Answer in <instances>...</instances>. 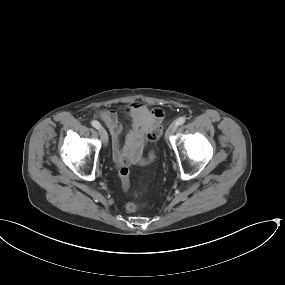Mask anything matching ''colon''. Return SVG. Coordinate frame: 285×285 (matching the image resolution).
Listing matches in <instances>:
<instances>
[{"label": "colon", "mask_w": 285, "mask_h": 285, "mask_svg": "<svg viewBox=\"0 0 285 285\" xmlns=\"http://www.w3.org/2000/svg\"><path fill=\"white\" fill-rule=\"evenodd\" d=\"M161 133H162V131H161V128L159 126L154 128L147 135L148 142L149 143L156 142L160 138ZM129 175H130V170L128 167L123 166V167L119 168L118 176H119L120 180L122 181L124 188H128V186H129ZM125 208L130 213H137L144 208V204H141L138 202H128L126 204Z\"/></svg>", "instance_id": "colon-1"}]
</instances>
